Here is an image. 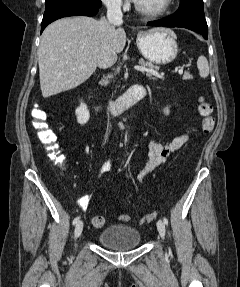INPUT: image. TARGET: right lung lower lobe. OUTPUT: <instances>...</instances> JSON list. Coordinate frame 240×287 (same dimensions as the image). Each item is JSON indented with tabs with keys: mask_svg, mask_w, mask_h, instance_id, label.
I'll list each match as a JSON object with an SVG mask.
<instances>
[{
	"mask_svg": "<svg viewBox=\"0 0 240 287\" xmlns=\"http://www.w3.org/2000/svg\"><path fill=\"white\" fill-rule=\"evenodd\" d=\"M102 3L100 0H46L41 32L51 22L68 16H94Z\"/></svg>",
	"mask_w": 240,
	"mask_h": 287,
	"instance_id": "obj_1",
	"label": "right lung lower lobe"
}]
</instances>
